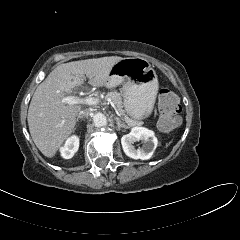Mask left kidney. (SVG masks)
<instances>
[{
    "label": "left kidney",
    "instance_id": "1",
    "mask_svg": "<svg viewBox=\"0 0 240 240\" xmlns=\"http://www.w3.org/2000/svg\"><path fill=\"white\" fill-rule=\"evenodd\" d=\"M140 140L143 142V146L140 149H136L133 144ZM121 144L124 153L128 157L147 160L153 155L158 140L152 130L144 127H133L129 134L123 135Z\"/></svg>",
    "mask_w": 240,
    "mask_h": 240
}]
</instances>
